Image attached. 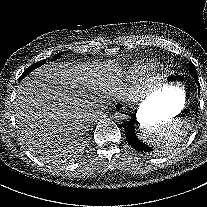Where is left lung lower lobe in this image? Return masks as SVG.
<instances>
[{
    "label": "left lung lower lobe",
    "mask_w": 207,
    "mask_h": 207,
    "mask_svg": "<svg viewBox=\"0 0 207 207\" xmlns=\"http://www.w3.org/2000/svg\"><path fill=\"white\" fill-rule=\"evenodd\" d=\"M194 78V80L196 81V83L199 85L198 82V77H197V72L192 73L191 74ZM138 123L137 120H135L134 118L131 119V121L128 123V127L126 129L125 135H126V139L128 141V143L134 148L136 149V151H145V152H150L152 150V148H150L149 146L145 145L143 142H141L136 134H135V130H134V125Z\"/></svg>",
    "instance_id": "0a47b994"
}]
</instances>
